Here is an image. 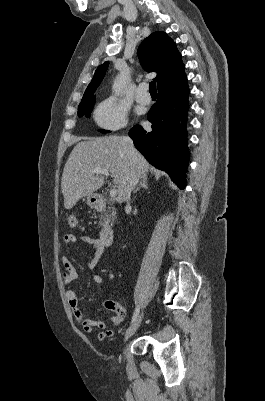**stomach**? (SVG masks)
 <instances>
[{"label":"stomach","instance_id":"obj_1","mask_svg":"<svg viewBox=\"0 0 265 401\" xmlns=\"http://www.w3.org/2000/svg\"><path fill=\"white\" fill-rule=\"evenodd\" d=\"M96 198H92V196H87V205H89V207H95L96 203Z\"/></svg>","mask_w":265,"mask_h":401}]
</instances>
